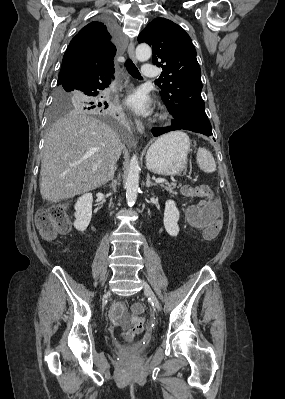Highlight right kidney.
<instances>
[{
  "label": "right kidney",
  "mask_w": 285,
  "mask_h": 399,
  "mask_svg": "<svg viewBox=\"0 0 285 399\" xmlns=\"http://www.w3.org/2000/svg\"><path fill=\"white\" fill-rule=\"evenodd\" d=\"M92 203L93 196L91 193H86L78 198L74 208H75V221L74 227L80 231L84 232L92 218Z\"/></svg>",
  "instance_id": "ca27d5eb"
}]
</instances>
